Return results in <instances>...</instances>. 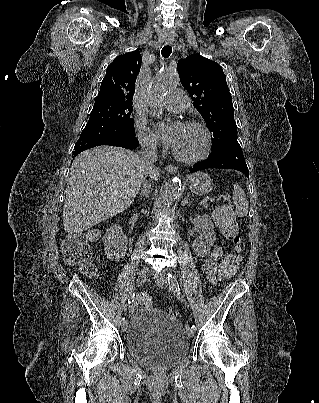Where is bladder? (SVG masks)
<instances>
[{"instance_id":"obj_1","label":"bladder","mask_w":319,"mask_h":403,"mask_svg":"<svg viewBox=\"0 0 319 403\" xmlns=\"http://www.w3.org/2000/svg\"><path fill=\"white\" fill-rule=\"evenodd\" d=\"M125 344L137 363L154 371L174 368L190 352V341L182 324L168 313L152 308L133 313Z\"/></svg>"}]
</instances>
